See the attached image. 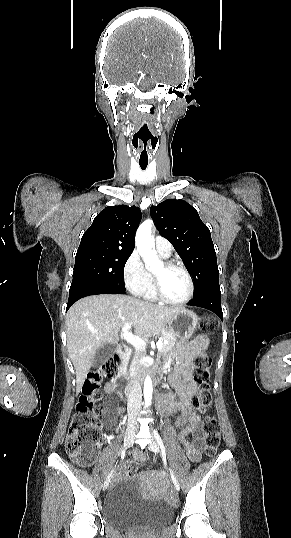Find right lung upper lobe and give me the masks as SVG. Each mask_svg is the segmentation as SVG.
I'll use <instances>...</instances> for the list:
<instances>
[{
  "label": "right lung upper lobe",
  "mask_w": 291,
  "mask_h": 538,
  "mask_svg": "<svg viewBox=\"0 0 291 538\" xmlns=\"http://www.w3.org/2000/svg\"><path fill=\"white\" fill-rule=\"evenodd\" d=\"M141 217L140 209L135 206L106 207L83 234L78 251L108 249L132 252Z\"/></svg>",
  "instance_id": "cb5924a9"
}]
</instances>
